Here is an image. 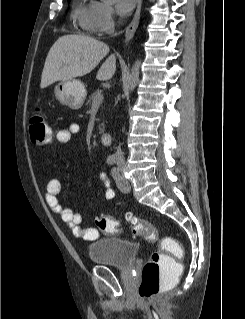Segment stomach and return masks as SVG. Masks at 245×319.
<instances>
[{
  "label": "stomach",
  "instance_id": "obj_1",
  "mask_svg": "<svg viewBox=\"0 0 245 319\" xmlns=\"http://www.w3.org/2000/svg\"><path fill=\"white\" fill-rule=\"evenodd\" d=\"M85 85L77 79L61 81L54 87V96L71 109H79L86 97Z\"/></svg>",
  "mask_w": 245,
  "mask_h": 319
}]
</instances>
